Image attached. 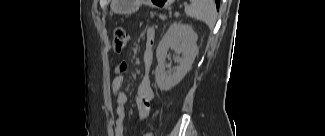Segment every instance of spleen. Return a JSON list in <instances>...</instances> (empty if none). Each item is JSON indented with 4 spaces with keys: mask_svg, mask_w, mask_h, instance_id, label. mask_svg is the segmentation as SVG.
<instances>
[{
    "mask_svg": "<svg viewBox=\"0 0 325 136\" xmlns=\"http://www.w3.org/2000/svg\"><path fill=\"white\" fill-rule=\"evenodd\" d=\"M187 16L203 21L210 29L216 23V5L213 0H191V4L185 7Z\"/></svg>",
    "mask_w": 325,
    "mask_h": 136,
    "instance_id": "spleen-1",
    "label": "spleen"
}]
</instances>
